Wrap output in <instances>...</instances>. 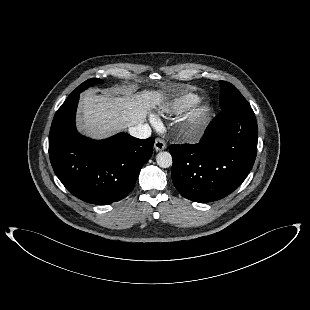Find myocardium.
Returning <instances> with one entry per match:
<instances>
[{
	"label": "myocardium",
	"mask_w": 310,
	"mask_h": 310,
	"mask_svg": "<svg viewBox=\"0 0 310 310\" xmlns=\"http://www.w3.org/2000/svg\"><path fill=\"white\" fill-rule=\"evenodd\" d=\"M211 108L208 104L196 102L186 109L182 116V128L186 135L194 136L205 126Z\"/></svg>",
	"instance_id": "obj_1"
}]
</instances>
